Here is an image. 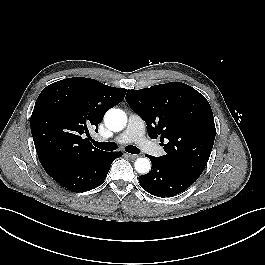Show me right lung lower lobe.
<instances>
[{
  "mask_svg": "<svg viewBox=\"0 0 265 265\" xmlns=\"http://www.w3.org/2000/svg\"><path fill=\"white\" fill-rule=\"evenodd\" d=\"M121 156L122 152H103L90 159L58 166L47 173L68 190L83 192L101 185L112 162Z\"/></svg>",
  "mask_w": 265,
  "mask_h": 265,
  "instance_id": "98d812e1",
  "label": "right lung lower lobe"
}]
</instances>
